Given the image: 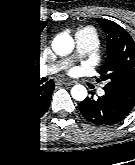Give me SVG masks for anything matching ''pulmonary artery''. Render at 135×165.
Instances as JSON below:
<instances>
[{
  "label": "pulmonary artery",
  "instance_id": "obj_1",
  "mask_svg": "<svg viewBox=\"0 0 135 165\" xmlns=\"http://www.w3.org/2000/svg\"><path fill=\"white\" fill-rule=\"evenodd\" d=\"M77 48L80 55L87 53L92 47V41L88 36L78 35L77 37ZM64 66V63L57 65V69H61ZM102 93V90H100Z\"/></svg>",
  "mask_w": 135,
  "mask_h": 165
}]
</instances>
